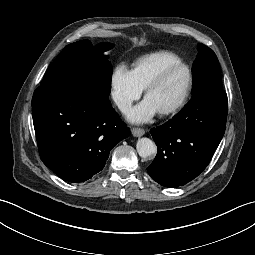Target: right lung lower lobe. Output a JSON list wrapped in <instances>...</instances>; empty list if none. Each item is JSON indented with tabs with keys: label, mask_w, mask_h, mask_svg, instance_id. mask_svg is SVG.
Listing matches in <instances>:
<instances>
[{
	"label": "right lung lower lobe",
	"mask_w": 255,
	"mask_h": 255,
	"mask_svg": "<svg viewBox=\"0 0 255 255\" xmlns=\"http://www.w3.org/2000/svg\"><path fill=\"white\" fill-rule=\"evenodd\" d=\"M32 116L43 163L72 183L101 171L111 149L130 134L108 98L71 86H39Z\"/></svg>",
	"instance_id": "right-lung-lower-lobe-1"
}]
</instances>
